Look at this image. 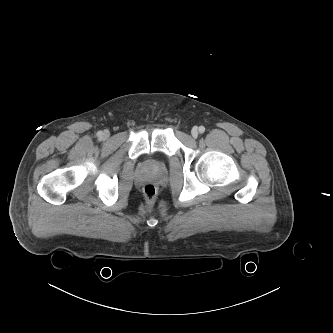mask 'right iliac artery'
<instances>
[{
    "instance_id": "right-iliac-artery-1",
    "label": "right iliac artery",
    "mask_w": 333,
    "mask_h": 333,
    "mask_svg": "<svg viewBox=\"0 0 333 333\" xmlns=\"http://www.w3.org/2000/svg\"><path fill=\"white\" fill-rule=\"evenodd\" d=\"M102 135H103V132H102V131L97 132V136H98V137H102Z\"/></svg>"
}]
</instances>
